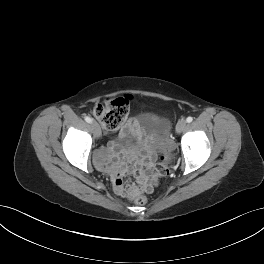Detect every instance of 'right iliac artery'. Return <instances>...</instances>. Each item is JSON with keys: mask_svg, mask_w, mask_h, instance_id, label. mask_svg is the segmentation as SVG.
<instances>
[{"mask_svg": "<svg viewBox=\"0 0 264 264\" xmlns=\"http://www.w3.org/2000/svg\"><path fill=\"white\" fill-rule=\"evenodd\" d=\"M85 121L88 122V123H92V119L90 117H85Z\"/></svg>", "mask_w": 264, "mask_h": 264, "instance_id": "82829eb1", "label": "right iliac artery"}]
</instances>
